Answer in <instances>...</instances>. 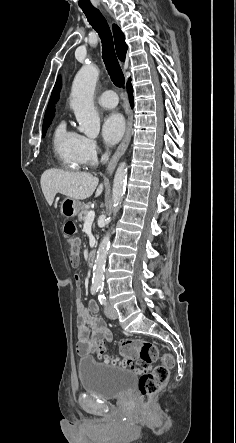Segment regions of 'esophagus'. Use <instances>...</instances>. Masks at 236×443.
Segmentation results:
<instances>
[{"mask_svg":"<svg viewBox=\"0 0 236 443\" xmlns=\"http://www.w3.org/2000/svg\"><path fill=\"white\" fill-rule=\"evenodd\" d=\"M131 135H132V115H130L128 118L125 136L108 163L107 166L108 174H111L114 171L119 159L123 156V154L127 150L131 140Z\"/></svg>","mask_w":236,"mask_h":443,"instance_id":"obj_1","label":"esophagus"}]
</instances>
